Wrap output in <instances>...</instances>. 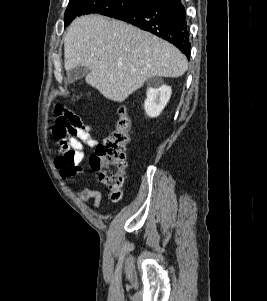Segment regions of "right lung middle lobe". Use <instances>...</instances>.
Instances as JSON below:
<instances>
[{"label": "right lung middle lobe", "mask_w": 267, "mask_h": 301, "mask_svg": "<svg viewBox=\"0 0 267 301\" xmlns=\"http://www.w3.org/2000/svg\"><path fill=\"white\" fill-rule=\"evenodd\" d=\"M146 4L143 0H70L64 16L67 26L74 18L84 14L99 13L114 17Z\"/></svg>", "instance_id": "dd1d6c3e"}]
</instances>
